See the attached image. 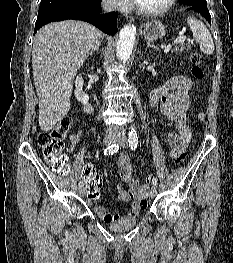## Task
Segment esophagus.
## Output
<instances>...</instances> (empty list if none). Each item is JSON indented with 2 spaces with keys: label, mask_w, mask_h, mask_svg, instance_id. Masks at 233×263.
I'll return each mask as SVG.
<instances>
[{
  "label": "esophagus",
  "mask_w": 233,
  "mask_h": 263,
  "mask_svg": "<svg viewBox=\"0 0 233 263\" xmlns=\"http://www.w3.org/2000/svg\"><path fill=\"white\" fill-rule=\"evenodd\" d=\"M125 18H126V20L127 21H129V22H132L133 21V17L132 16H130V15H125Z\"/></svg>",
  "instance_id": "1"
}]
</instances>
